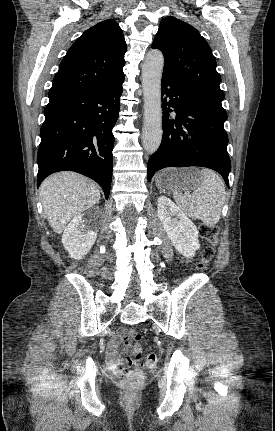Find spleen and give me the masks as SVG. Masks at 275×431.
I'll list each match as a JSON object with an SVG mask.
<instances>
[{"label":"spleen","instance_id":"spleen-1","mask_svg":"<svg viewBox=\"0 0 275 431\" xmlns=\"http://www.w3.org/2000/svg\"><path fill=\"white\" fill-rule=\"evenodd\" d=\"M201 184L194 189L191 196L175 192L174 200L188 216L201 219L206 226L218 223L225 202V185L222 179L210 169L199 171Z\"/></svg>","mask_w":275,"mask_h":431}]
</instances>
